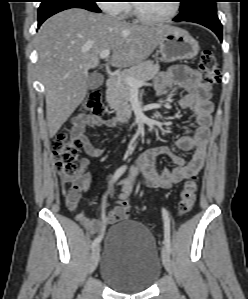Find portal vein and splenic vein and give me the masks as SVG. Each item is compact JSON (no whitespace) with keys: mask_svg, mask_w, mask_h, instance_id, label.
Wrapping results in <instances>:
<instances>
[{"mask_svg":"<svg viewBox=\"0 0 248 299\" xmlns=\"http://www.w3.org/2000/svg\"><path fill=\"white\" fill-rule=\"evenodd\" d=\"M109 55H110V50L106 49V50H103V51L100 53V58H101V59H105V58H107ZM126 83H127L132 89H137V88H139V87H141V86L143 85V82L138 81V80H136V79L133 78V77H127V78H126Z\"/></svg>","mask_w":248,"mask_h":299,"instance_id":"18ae733b","label":"portal vein and splenic vein"}]
</instances>
